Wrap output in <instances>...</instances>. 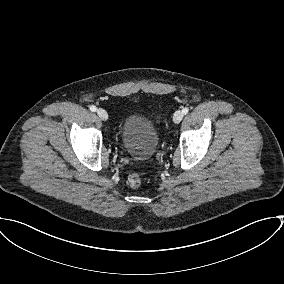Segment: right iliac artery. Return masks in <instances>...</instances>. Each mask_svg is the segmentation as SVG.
Listing matches in <instances>:
<instances>
[{"instance_id":"obj_1","label":"right iliac artery","mask_w":284,"mask_h":284,"mask_svg":"<svg viewBox=\"0 0 284 284\" xmlns=\"http://www.w3.org/2000/svg\"><path fill=\"white\" fill-rule=\"evenodd\" d=\"M89 109H90L92 112H95V111L97 110L96 106H94V105H91V106L89 107Z\"/></svg>"}]
</instances>
